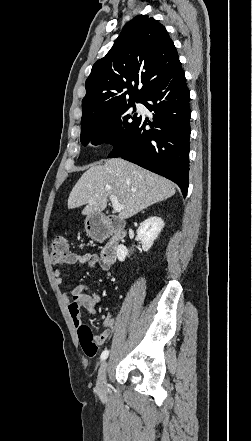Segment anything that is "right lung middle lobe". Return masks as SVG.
Wrapping results in <instances>:
<instances>
[{"label":"right lung middle lobe","mask_w":252,"mask_h":441,"mask_svg":"<svg viewBox=\"0 0 252 441\" xmlns=\"http://www.w3.org/2000/svg\"><path fill=\"white\" fill-rule=\"evenodd\" d=\"M136 102H141L137 100ZM134 101L129 104L103 111L84 123H81L80 141L83 145L108 143L115 146L125 139L140 120L137 113L131 112Z\"/></svg>","instance_id":"obj_1"}]
</instances>
